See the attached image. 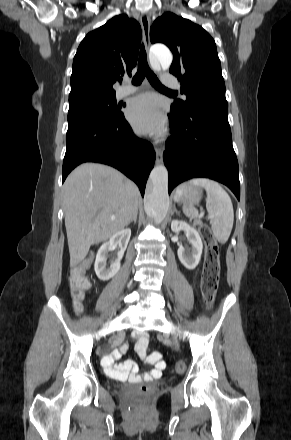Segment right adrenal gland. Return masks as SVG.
Instances as JSON below:
<instances>
[{"label":"right adrenal gland","mask_w":291,"mask_h":440,"mask_svg":"<svg viewBox=\"0 0 291 440\" xmlns=\"http://www.w3.org/2000/svg\"><path fill=\"white\" fill-rule=\"evenodd\" d=\"M136 221H137V214H136V215L134 216V218L129 222V224L132 223V222L136 223Z\"/></svg>","instance_id":"1"}]
</instances>
